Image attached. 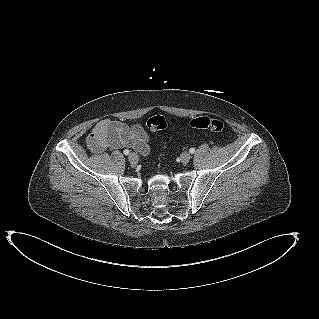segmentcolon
<instances>
[{"mask_svg":"<svg viewBox=\"0 0 319 319\" xmlns=\"http://www.w3.org/2000/svg\"><path fill=\"white\" fill-rule=\"evenodd\" d=\"M175 122V119L172 117L156 115L147 120V127L152 131H159L167 128ZM190 125L196 129H206L216 133H221L225 129L222 121L207 116H200L192 119L190 121Z\"/></svg>","mask_w":319,"mask_h":319,"instance_id":"obj_1","label":"colon"}]
</instances>
